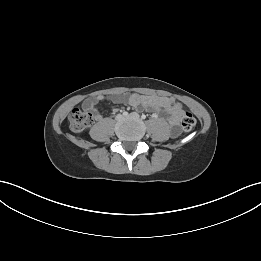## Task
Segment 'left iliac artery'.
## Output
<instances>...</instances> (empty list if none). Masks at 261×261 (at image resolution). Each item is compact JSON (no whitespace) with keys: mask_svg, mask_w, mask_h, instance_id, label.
<instances>
[{"mask_svg":"<svg viewBox=\"0 0 261 261\" xmlns=\"http://www.w3.org/2000/svg\"><path fill=\"white\" fill-rule=\"evenodd\" d=\"M141 118H142V119H145V118H146V115L142 114Z\"/></svg>","mask_w":261,"mask_h":261,"instance_id":"1","label":"left iliac artery"}]
</instances>
